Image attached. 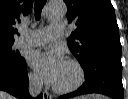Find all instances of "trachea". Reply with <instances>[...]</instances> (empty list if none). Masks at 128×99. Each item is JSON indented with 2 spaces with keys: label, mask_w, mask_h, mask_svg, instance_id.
Wrapping results in <instances>:
<instances>
[{
  "label": "trachea",
  "mask_w": 128,
  "mask_h": 99,
  "mask_svg": "<svg viewBox=\"0 0 128 99\" xmlns=\"http://www.w3.org/2000/svg\"><path fill=\"white\" fill-rule=\"evenodd\" d=\"M46 0H35V19L39 20L42 8L44 7Z\"/></svg>",
  "instance_id": "obj_1"
}]
</instances>
